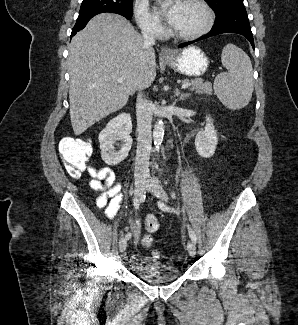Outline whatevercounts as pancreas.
Instances as JSON below:
<instances>
[{"mask_svg":"<svg viewBox=\"0 0 298 325\" xmlns=\"http://www.w3.org/2000/svg\"><path fill=\"white\" fill-rule=\"evenodd\" d=\"M183 82H190L189 78H184ZM190 90H194L197 94H213L212 82H203V80H195L191 84Z\"/></svg>","mask_w":298,"mask_h":325,"instance_id":"cf45deb5","label":"pancreas"}]
</instances>
